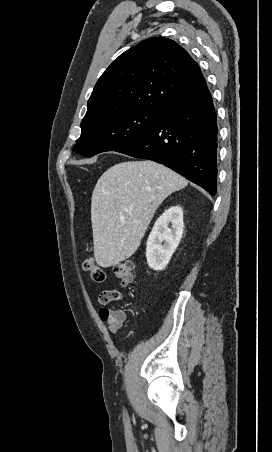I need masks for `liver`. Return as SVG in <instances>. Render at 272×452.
Wrapping results in <instances>:
<instances>
[{
	"instance_id": "1",
	"label": "liver",
	"mask_w": 272,
	"mask_h": 452,
	"mask_svg": "<svg viewBox=\"0 0 272 452\" xmlns=\"http://www.w3.org/2000/svg\"><path fill=\"white\" fill-rule=\"evenodd\" d=\"M187 184L151 160L121 162L106 170L91 198L96 263L108 268L131 257L160 204Z\"/></svg>"
}]
</instances>
